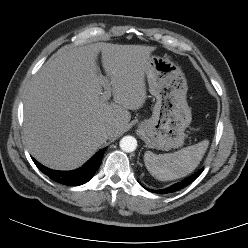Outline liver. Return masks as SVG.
Segmentation results:
<instances>
[{"instance_id":"liver-1","label":"liver","mask_w":248,"mask_h":248,"mask_svg":"<svg viewBox=\"0 0 248 248\" xmlns=\"http://www.w3.org/2000/svg\"><path fill=\"white\" fill-rule=\"evenodd\" d=\"M156 47L96 43L64 46L36 73L24 102V140L43 165L71 170L128 129L129 110L146 100L145 74ZM106 77L98 74L96 56ZM111 87L108 103L103 87ZM114 127L107 137L104 130Z\"/></svg>"}]
</instances>
